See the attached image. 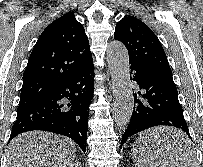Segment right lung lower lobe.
Masks as SVG:
<instances>
[{
    "instance_id": "98d812e1",
    "label": "right lung lower lobe",
    "mask_w": 203,
    "mask_h": 167,
    "mask_svg": "<svg viewBox=\"0 0 203 167\" xmlns=\"http://www.w3.org/2000/svg\"><path fill=\"white\" fill-rule=\"evenodd\" d=\"M93 89L91 62L64 80L48 97L19 104L9 140L20 133L43 130L70 137L85 152Z\"/></svg>"
}]
</instances>
